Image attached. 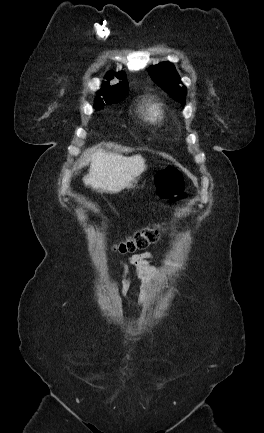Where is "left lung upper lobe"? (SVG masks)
Returning <instances> with one entry per match:
<instances>
[{
    "instance_id": "left-lung-upper-lobe-1",
    "label": "left lung upper lobe",
    "mask_w": 264,
    "mask_h": 433,
    "mask_svg": "<svg viewBox=\"0 0 264 433\" xmlns=\"http://www.w3.org/2000/svg\"><path fill=\"white\" fill-rule=\"evenodd\" d=\"M148 73L153 81L165 90L174 100L185 105V87H180V77L173 64L162 62L151 66Z\"/></svg>"
}]
</instances>
